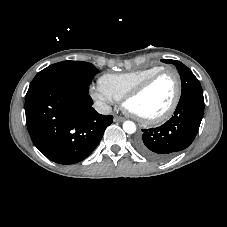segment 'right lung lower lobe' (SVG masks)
<instances>
[{"mask_svg":"<svg viewBox=\"0 0 227 227\" xmlns=\"http://www.w3.org/2000/svg\"><path fill=\"white\" fill-rule=\"evenodd\" d=\"M26 124L34 145L50 160L73 164L99 144L113 116L97 113L87 92L46 84L26 94Z\"/></svg>","mask_w":227,"mask_h":227,"instance_id":"right-lung-lower-lobe-1","label":"right lung lower lobe"}]
</instances>
